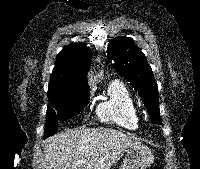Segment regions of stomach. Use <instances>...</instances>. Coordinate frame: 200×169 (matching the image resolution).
Here are the masks:
<instances>
[{"mask_svg":"<svg viewBox=\"0 0 200 169\" xmlns=\"http://www.w3.org/2000/svg\"><path fill=\"white\" fill-rule=\"evenodd\" d=\"M154 161L152 151L144 146H132L126 150L123 163L119 169H146Z\"/></svg>","mask_w":200,"mask_h":169,"instance_id":"stomach-1","label":"stomach"}]
</instances>
